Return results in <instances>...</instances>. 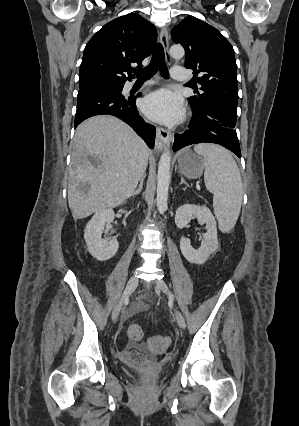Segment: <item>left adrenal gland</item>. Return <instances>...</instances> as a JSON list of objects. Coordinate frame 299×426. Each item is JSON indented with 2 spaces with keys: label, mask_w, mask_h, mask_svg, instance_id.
I'll return each instance as SVG.
<instances>
[{
  "label": "left adrenal gland",
  "mask_w": 299,
  "mask_h": 426,
  "mask_svg": "<svg viewBox=\"0 0 299 426\" xmlns=\"http://www.w3.org/2000/svg\"><path fill=\"white\" fill-rule=\"evenodd\" d=\"M181 184H185L187 187L189 186V185H188V183L184 180V178H183V177H181L180 185H181Z\"/></svg>",
  "instance_id": "obj_1"
}]
</instances>
